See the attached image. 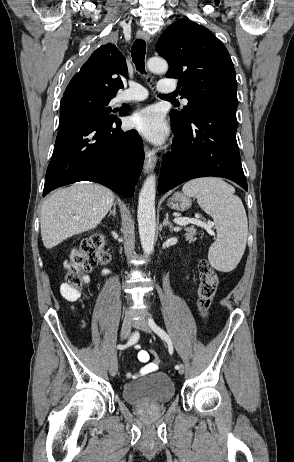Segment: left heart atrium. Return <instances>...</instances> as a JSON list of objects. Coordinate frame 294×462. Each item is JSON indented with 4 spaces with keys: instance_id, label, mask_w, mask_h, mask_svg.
<instances>
[{
    "instance_id": "1",
    "label": "left heart atrium",
    "mask_w": 294,
    "mask_h": 462,
    "mask_svg": "<svg viewBox=\"0 0 294 462\" xmlns=\"http://www.w3.org/2000/svg\"><path fill=\"white\" fill-rule=\"evenodd\" d=\"M129 125L151 142L161 143L168 134V128L160 111L150 106L137 111L129 120Z\"/></svg>"
}]
</instances>
